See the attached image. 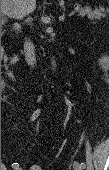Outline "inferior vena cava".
Returning a JSON list of instances; mask_svg holds the SVG:
<instances>
[{
  "label": "inferior vena cava",
  "instance_id": "inferior-vena-cava-1",
  "mask_svg": "<svg viewBox=\"0 0 109 170\" xmlns=\"http://www.w3.org/2000/svg\"><path fill=\"white\" fill-rule=\"evenodd\" d=\"M24 53H25V60L28 63V65L34 67V65L36 64L35 48L30 40L26 39L24 43Z\"/></svg>",
  "mask_w": 109,
  "mask_h": 170
}]
</instances>
